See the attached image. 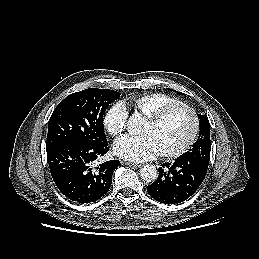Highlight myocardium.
Masks as SVG:
<instances>
[{"mask_svg": "<svg viewBox=\"0 0 259 259\" xmlns=\"http://www.w3.org/2000/svg\"><path fill=\"white\" fill-rule=\"evenodd\" d=\"M179 109H185L190 113L192 117V122H193L192 130L188 138L179 147L169 151L159 152V155L163 158L179 157L182 154H184L193 145L200 131V119H199L198 113L192 106L186 103L180 102V103L166 106L161 110L155 112L154 114L150 115L149 117H147V121L151 125H158L162 121H164L167 117H169L172 113H174Z\"/></svg>", "mask_w": 259, "mask_h": 259, "instance_id": "obj_1", "label": "myocardium"}]
</instances>
